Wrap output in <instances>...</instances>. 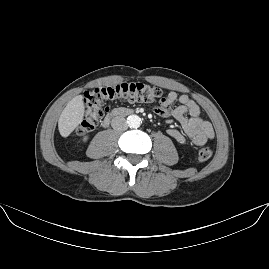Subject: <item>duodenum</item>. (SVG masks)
<instances>
[{"label": "duodenum", "mask_w": 269, "mask_h": 269, "mask_svg": "<svg viewBox=\"0 0 269 269\" xmlns=\"http://www.w3.org/2000/svg\"><path fill=\"white\" fill-rule=\"evenodd\" d=\"M134 111L127 108H115L113 109L103 121V126H108L113 118L124 117L133 114Z\"/></svg>", "instance_id": "duodenum-1"}]
</instances>
